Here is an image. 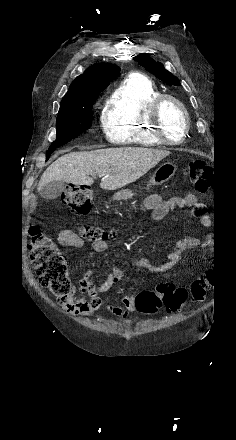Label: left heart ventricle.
<instances>
[{"label": "left heart ventricle", "instance_id": "1", "mask_svg": "<svg viewBox=\"0 0 236 440\" xmlns=\"http://www.w3.org/2000/svg\"><path fill=\"white\" fill-rule=\"evenodd\" d=\"M164 130L172 139H180L184 130V119L180 109L172 102H168L162 109Z\"/></svg>", "mask_w": 236, "mask_h": 440}]
</instances>
